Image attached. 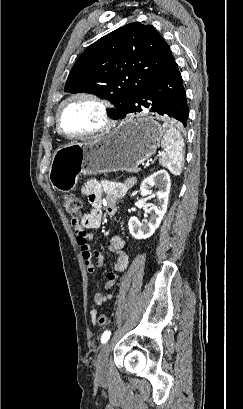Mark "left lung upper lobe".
<instances>
[{"label": "left lung upper lobe", "mask_w": 243, "mask_h": 409, "mask_svg": "<svg viewBox=\"0 0 243 409\" xmlns=\"http://www.w3.org/2000/svg\"><path fill=\"white\" fill-rule=\"evenodd\" d=\"M175 64L169 45L152 25L127 24L90 45L73 66L64 90L110 100L114 119L157 76Z\"/></svg>", "instance_id": "obj_1"}]
</instances>
